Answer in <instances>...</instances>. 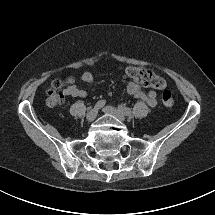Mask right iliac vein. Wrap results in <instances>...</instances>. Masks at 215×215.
Here are the masks:
<instances>
[{"instance_id": "right-iliac-vein-1", "label": "right iliac vein", "mask_w": 215, "mask_h": 215, "mask_svg": "<svg viewBox=\"0 0 215 215\" xmlns=\"http://www.w3.org/2000/svg\"><path fill=\"white\" fill-rule=\"evenodd\" d=\"M97 116V109L92 108L88 111V113L86 114V120L91 122L93 121Z\"/></svg>"}]
</instances>
